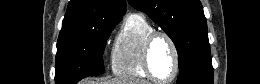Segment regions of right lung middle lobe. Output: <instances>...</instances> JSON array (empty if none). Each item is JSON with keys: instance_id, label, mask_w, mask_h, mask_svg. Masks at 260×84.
<instances>
[{"instance_id": "right-lung-middle-lobe-1", "label": "right lung middle lobe", "mask_w": 260, "mask_h": 84, "mask_svg": "<svg viewBox=\"0 0 260 84\" xmlns=\"http://www.w3.org/2000/svg\"><path fill=\"white\" fill-rule=\"evenodd\" d=\"M119 22H99L90 27L85 36L58 39L56 84H76L86 76L104 73L102 55L106 40Z\"/></svg>"}]
</instances>
